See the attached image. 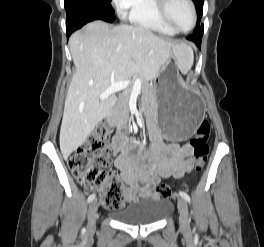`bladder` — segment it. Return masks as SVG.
Listing matches in <instances>:
<instances>
[{
  "label": "bladder",
  "instance_id": "bladder-1",
  "mask_svg": "<svg viewBox=\"0 0 264 247\" xmlns=\"http://www.w3.org/2000/svg\"><path fill=\"white\" fill-rule=\"evenodd\" d=\"M172 210V203L166 198L136 201L118 211L114 217L118 222L133 225H148L162 221Z\"/></svg>",
  "mask_w": 264,
  "mask_h": 247
}]
</instances>
